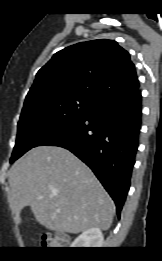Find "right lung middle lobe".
Returning <instances> with one entry per match:
<instances>
[{"label":"right lung middle lobe","instance_id":"dd1d6c3e","mask_svg":"<svg viewBox=\"0 0 162 261\" xmlns=\"http://www.w3.org/2000/svg\"><path fill=\"white\" fill-rule=\"evenodd\" d=\"M98 102L75 94L37 97L25 100L18 122L13 163L52 130L92 111Z\"/></svg>","mask_w":162,"mask_h":261}]
</instances>
